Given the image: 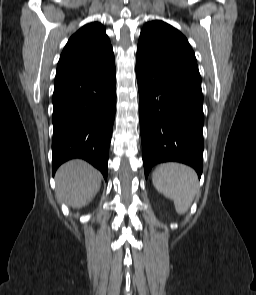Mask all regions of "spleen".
<instances>
[{
	"instance_id": "obj_1",
	"label": "spleen",
	"mask_w": 256,
	"mask_h": 295,
	"mask_svg": "<svg viewBox=\"0 0 256 295\" xmlns=\"http://www.w3.org/2000/svg\"><path fill=\"white\" fill-rule=\"evenodd\" d=\"M152 182L159 193L174 202L178 214H185L198 190L195 171L183 164L165 163L152 174Z\"/></svg>"
}]
</instances>
